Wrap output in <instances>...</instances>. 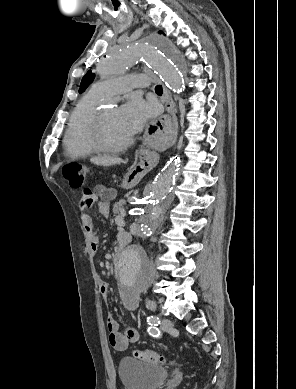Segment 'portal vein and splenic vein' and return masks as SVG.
I'll use <instances>...</instances> for the list:
<instances>
[{
  "label": "portal vein and splenic vein",
  "instance_id": "1",
  "mask_svg": "<svg viewBox=\"0 0 296 389\" xmlns=\"http://www.w3.org/2000/svg\"><path fill=\"white\" fill-rule=\"evenodd\" d=\"M115 221H116V222H119V223H121V224H124V221H123V219H122V216H118V217L116 218Z\"/></svg>",
  "mask_w": 296,
  "mask_h": 389
}]
</instances>
